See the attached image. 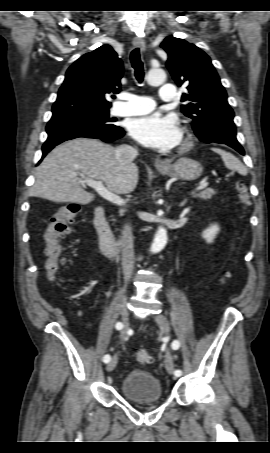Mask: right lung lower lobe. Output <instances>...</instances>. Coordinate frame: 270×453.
<instances>
[{"instance_id":"right-lung-lower-lobe-1","label":"right lung lower lobe","mask_w":270,"mask_h":453,"mask_svg":"<svg viewBox=\"0 0 270 453\" xmlns=\"http://www.w3.org/2000/svg\"><path fill=\"white\" fill-rule=\"evenodd\" d=\"M48 138L42 147L43 157L56 145L78 137L96 138L104 142H112L121 138L125 132L116 125L97 127L76 122H49L46 127Z\"/></svg>"}]
</instances>
